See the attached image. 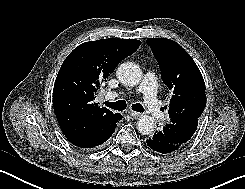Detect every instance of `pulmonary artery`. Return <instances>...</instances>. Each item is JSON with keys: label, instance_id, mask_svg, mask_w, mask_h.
I'll return each instance as SVG.
<instances>
[{"label": "pulmonary artery", "instance_id": "1", "mask_svg": "<svg viewBox=\"0 0 245 189\" xmlns=\"http://www.w3.org/2000/svg\"><path fill=\"white\" fill-rule=\"evenodd\" d=\"M144 88L145 101L152 111L159 112L156 100V76L152 72H146L140 84ZM121 93H115L114 97H120Z\"/></svg>", "mask_w": 245, "mask_h": 189}]
</instances>
